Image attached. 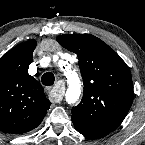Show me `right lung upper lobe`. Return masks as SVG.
<instances>
[{
    "mask_svg": "<svg viewBox=\"0 0 145 145\" xmlns=\"http://www.w3.org/2000/svg\"><path fill=\"white\" fill-rule=\"evenodd\" d=\"M35 40L19 44L0 59V130L20 134L36 128L50 101L40 83L28 74Z\"/></svg>",
    "mask_w": 145,
    "mask_h": 145,
    "instance_id": "cb5924a9",
    "label": "right lung upper lobe"
}]
</instances>
